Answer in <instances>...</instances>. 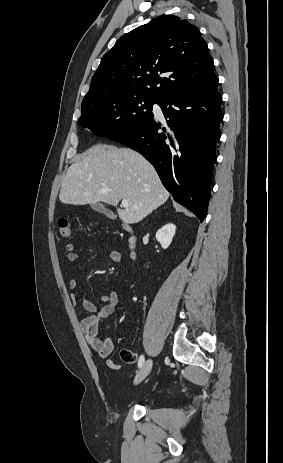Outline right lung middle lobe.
<instances>
[{
  "label": "right lung middle lobe",
  "instance_id": "1",
  "mask_svg": "<svg viewBox=\"0 0 283 463\" xmlns=\"http://www.w3.org/2000/svg\"><path fill=\"white\" fill-rule=\"evenodd\" d=\"M154 103L158 100L145 96L111 95L82 105L78 122L96 135L110 139L151 119Z\"/></svg>",
  "mask_w": 283,
  "mask_h": 463
}]
</instances>
